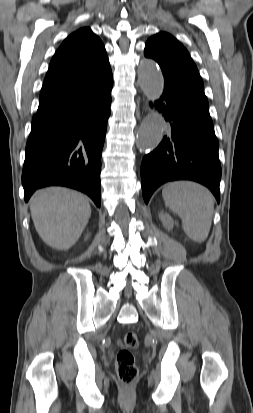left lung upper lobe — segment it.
<instances>
[{
  "label": "left lung upper lobe",
  "mask_w": 253,
  "mask_h": 413,
  "mask_svg": "<svg viewBox=\"0 0 253 413\" xmlns=\"http://www.w3.org/2000/svg\"><path fill=\"white\" fill-rule=\"evenodd\" d=\"M144 55L159 64L164 76L186 79L204 87L188 51L172 35L160 32L150 37L146 42Z\"/></svg>",
  "instance_id": "1"
}]
</instances>
